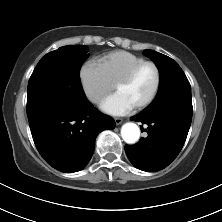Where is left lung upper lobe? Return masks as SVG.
<instances>
[{"label":"left lung upper lobe","mask_w":222,"mask_h":222,"mask_svg":"<svg viewBox=\"0 0 222 222\" xmlns=\"http://www.w3.org/2000/svg\"><path fill=\"white\" fill-rule=\"evenodd\" d=\"M145 55L156 64L160 72L159 90L151 104L172 96L191 98L190 83L176 61L153 50H145Z\"/></svg>","instance_id":"5c2ea615"}]
</instances>
